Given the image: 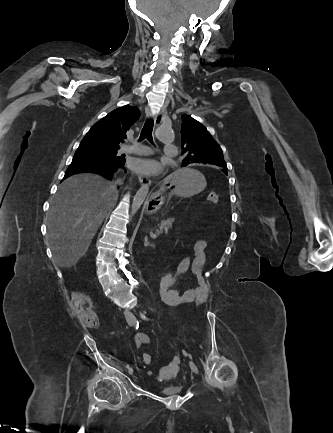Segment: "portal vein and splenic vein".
I'll return each instance as SVG.
<instances>
[{"label":"portal vein and splenic vein","instance_id":"portal-vein-and-splenic-vein-1","mask_svg":"<svg viewBox=\"0 0 333 433\" xmlns=\"http://www.w3.org/2000/svg\"><path fill=\"white\" fill-rule=\"evenodd\" d=\"M160 233V231H156V233H151V237L152 238H157V234Z\"/></svg>","mask_w":333,"mask_h":433}]
</instances>
